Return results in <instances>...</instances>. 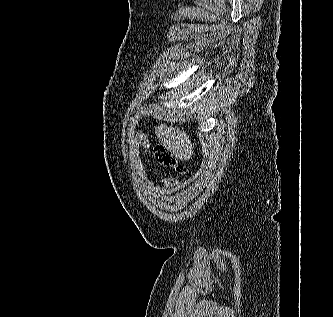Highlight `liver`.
I'll return each instance as SVG.
<instances>
[{
    "instance_id": "1",
    "label": "liver",
    "mask_w": 333,
    "mask_h": 317,
    "mask_svg": "<svg viewBox=\"0 0 333 317\" xmlns=\"http://www.w3.org/2000/svg\"><path fill=\"white\" fill-rule=\"evenodd\" d=\"M155 133L163 146L182 161L190 160L193 156V144L189 136L179 128L160 124L155 127Z\"/></svg>"
}]
</instances>
